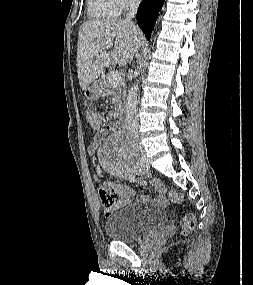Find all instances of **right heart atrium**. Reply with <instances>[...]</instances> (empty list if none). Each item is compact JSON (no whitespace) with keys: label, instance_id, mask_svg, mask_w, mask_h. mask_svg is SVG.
<instances>
[{"label":"right heart atrium","instance_id":"d8ad5b80","mask_svg":"<svg viewBox=\"0 0 253 285\" xmlns=\"http://www.w3.org/2000/svg\"><path fill=\"white\" fill-rule=\"evenodd\" d=\"M121 10L129 9L136 5L139 0H116Z\"/></svg>","mask_w":253,"mask_h":285}]
</instances>
